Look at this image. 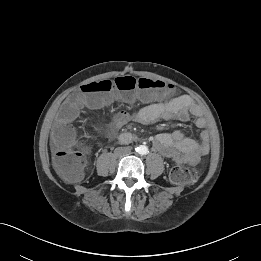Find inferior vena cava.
<instances>
[{
  "label": "inferior vena cava",
  "instance_id": "obj_1",
  "mask_svg": "<svg viewBox=\"0 0 261 261\" xmlns=\"http://www.w3.org/2000/svg\"><path fill=\"white\" fill-rule=\"evenodd\" d=\"M115 152L118 156H126L131 153V148L130 147H118L115 150Z\"/></svg>",
  "mask_w": 261,
  "mask_h": 261
}]
</instances>
